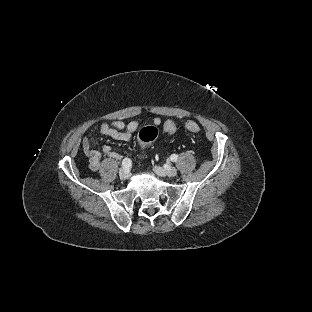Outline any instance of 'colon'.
<instances>
[{"instance_id": "1", "label": "colon", "mask_w": 312, "mask_h": 312, "mask_svg": "<svg viewBox=\"0 0 312 312\" xmlns=\"http://www.w3.org/2000/svg\"><path fill=\"white\" fill-rule=\"evenodd\" d=\"M186 131L196 133L199 131L200 126L198 123L191 121L185 126ZM165 130L167 132H173L175 130V123L173 121H168L165 125ZM158 131L154 126L144 127L137 134V139L143 143L148 144L154 141L157 138Z\"/></svg>"}]
</instances>
